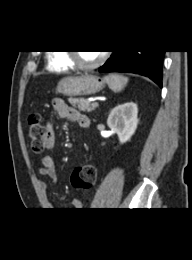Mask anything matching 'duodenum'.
<instances>
[{"mask_svg":"<svg viewBox=\"0 0 192 260\" xmlns=\"http://www.w3.org/2000/svg\"><path fill=\"white\" fill-rule=\"evenodd\" d=\"M88 125H89V124L85 122V123L83 124V127H88Z\"/></svg>","mask_w":192,"mask_h":260,"instance_id":"duodenum-1","label":"duodenum"}]
</instances>
